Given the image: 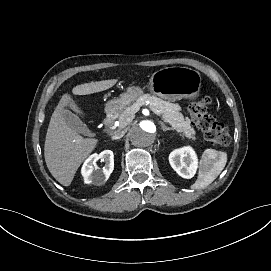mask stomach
<instances>
[{"instance_id":"stomach-1","label":"stomach","mask_w":271,"mask_h":271,"mask_svg":"<svg viewBox=\"0 0 271 271\" xmlns=\"http://www.w3.org/2000/svg\"><path fill=\"white\" fill-rule=\"evenodd\" d=\"M201 74L188 67L170 66L161 68L152 73L149 84L128 85L118 99L107 102V112H122L141 99L145 90L152 95L168 101L188 99L195 101L201 95Z\"/></svg>"}]
</instances>
